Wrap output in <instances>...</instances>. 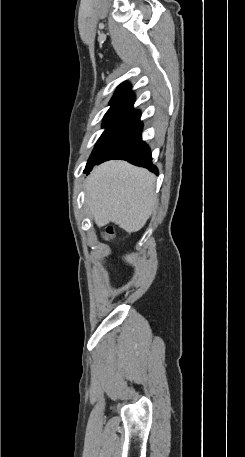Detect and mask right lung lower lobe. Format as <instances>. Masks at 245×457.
Returning <instances> with one entry per match:
<instances>
[{
  "instance_id": "1",
  "label": "right lung lower lobe",
  "mask_w": 245,
  "mask_h": 457,
  "mask_svg": "<svg viewBox=\"0 0 245 457\" xmlns=\"http://www.w3.org/2000/svg\"><path fill=\"white\" fill-rule=\"evenodd\" d=\"M140 115L139 111H131L129 113L126 121L100 155L95 165L110 159H122L158 173L157 168L152 164L150 148L141 138L143 124L140 121Z\"/></svg>"
}]
</instances>
